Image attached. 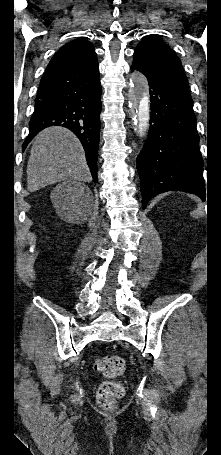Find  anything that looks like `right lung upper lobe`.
Segmentation results:
<instances>
[{
    "instance_id": "right-lung-upper-lobe-1",
    "label": "right lung upper lobe",
    "mask_w": 221,
    "mask_h": 455,
    "mask_svg": "<svg viewBox=\"0 0 221 455\" xmlns=\"http://www.w3.org/2000/svg\"><path fill=\"white\" fill-rule=\"evenodd\" d=\"M94 51L92 44L85 39H76L61 47L53 56L47 66L46 71L54 68L55 66L77 57L83 53Z\"/></svg>"
}]
</instances>
